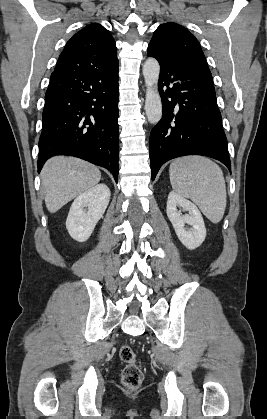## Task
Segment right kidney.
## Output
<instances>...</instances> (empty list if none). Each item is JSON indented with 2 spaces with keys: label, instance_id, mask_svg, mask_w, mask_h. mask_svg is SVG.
Instances as JSON below:
<instances>
[{
  "label": "right kidney",
  "instance_id": "obj_1",
  "mask_svg": "<svg viewBox=\"0 0 267 419\" xmlns=\"http://www.w3.org/2000/svg\"><path fill=\"white\" fill-rule=\"evenodd\" d=\"M109 201L110 190L103 183L80 194L72 203L66 220L70 236L78 242L87 241L103 217Z\"/></svg>",
  "mask_w": 267,
  "mask_h": 419
}]
</instances>
